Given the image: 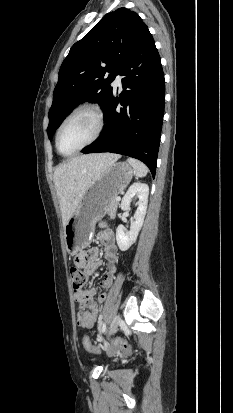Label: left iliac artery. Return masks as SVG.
<instances>
[{
	"label": "left iliac artery",
	"mask_w": 233,
	"mask_h": 413,
	"mask_svg": "<svg viewBox=\"0 0 233 413\" xmlns=\"http://www.w3.org/2000/svg\"><path fill=\"white\" fill-rule=\"evenodd\" d=\"M105 330H106V324H105V323H103V326H102L101 332L103 333V332H105Z\"/></svg>",
	"instance_id": "left-iliac-artery-1"
}]
</instances>
